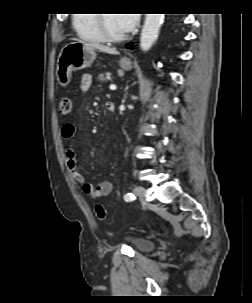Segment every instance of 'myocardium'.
Returning a JSON list of instances; mask_svg holds the SVG:
<instances>
[{"label": "myocardium", "mask_w": 252, "mask_h": 303, "mask_svg": "<svg viewBox=\"0 0 252 303\" xmlns=\"http://www.w3.org/2000/svg\"><path fill=\"white\" fill-rule=\"evenodd\" d=\"M98 15V23L102 32V35L105 40L111 41V42H120L127 38V33L123 34H113L111 33L105 25V14H97Z\"/></svg>", "instance_id": "f54148a6"}]
</instances>
